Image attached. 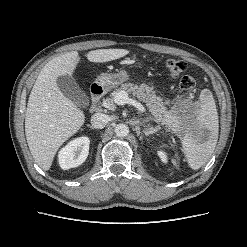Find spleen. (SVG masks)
<instances>
[{
    "instance_id": "3e777b00",
    "label": "spleen",
    "mask_w": 247,
    "mask_h": 247,
    "mask_svg": "<svg viewBox=\"0 0 247 247\" xmlns=\"http://www.w3.org/2000/svg\"><path fill=\"white\" fill-rule=\"evenodd\" d=\"M205 131L209 134L206 140H202L201 136ZM218 131L215 101L210 90L204 89L200 94V109L192 129L182 140L183 151L190 168L197 170L209 160L217 144Z\"/></svg>"
}]
</instances>
